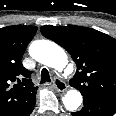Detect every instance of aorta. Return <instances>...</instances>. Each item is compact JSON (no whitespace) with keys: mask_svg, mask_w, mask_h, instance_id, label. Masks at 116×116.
<instances>
[{"mask_svg":"<svg viewBox=\"0 0 116 116\" xmlns=\"http://www.w3.org/2000/svg\"><path fill=\"white\" fill-rule=\"evenodd\" d=\"M30 56L57 71L63 70L68 64V57L65 51L57 44L49 40L34 41L29 47ZM65 108L75 111L82 103V95L77 90H69L62 97Z\"/></svg>","mask_w":116,"mask_h":116,"instance_id":"762f6f07","label":"aorta"}]
</instances>
